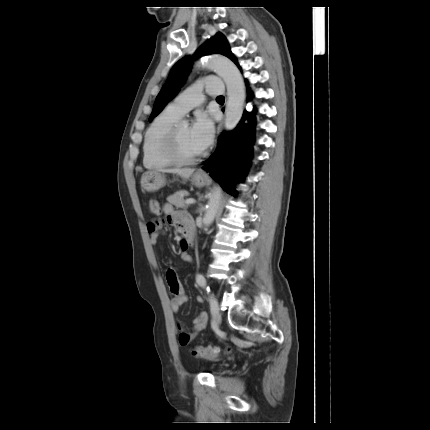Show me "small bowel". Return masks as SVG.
I'll list each match as a JSON object with an SVG mask.
<instances>
[{"label": "small bowel", "instance_id": "obj_1", "mask_svg": "<svg viewBox=\"0 0 430 430\" xmlns=\"http://www.w3.org/2000/svg\"><path fill=\"white\" fill-rule=\"evenodd\" d=\"M163 212L166 215L165 220H151L147 224V230L149 233V241L152 245H156L160 235L163 233V227L166 223L173 225L177 231L182 234L183 239L180 241V247L182 250V259L187 262H192L191 257L186 253L188 245L185 240L188 235H192L193 228L192 223L183 213L176 211L174 207L166 203L163 205ZM167 281L172 293L171 308L173 312H178L181 307L186 304L188 297L184 292L181 283L178 281L176 274L173 270H169L167 273ZM198 302H202V298H197ZM208 316L206 313L199 314L194 319V327L191 331H186L183 326L178 323V329L180 334L178 342L181 346H188L194 340V338L206 327Z\"/></svg>", "mask_w": 430, "mask_h": 430}]
</instances>
